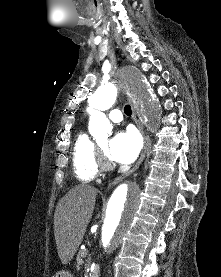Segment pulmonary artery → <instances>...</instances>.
<instances>
[{
    "label": "pulmonary artery",
    "instance_id": "1",
    "mask_svg": "<svg viewBox=\"0 0 221 277\" xmlns=\"http://www.w3.org/2000/svg\"><path fill=\"white\" fill-rule=\"evenodd\" d=\"M109 119L114 123H119L123 120V115L120 110H111L108 114Z\"/></svg>",
    "mask_w": 221,
    "mask_h": 277
}]
</instances>
